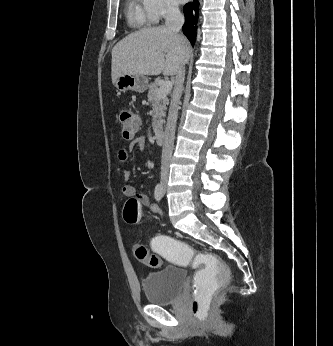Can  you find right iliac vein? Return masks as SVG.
Returning <instances> with one entry per match:
<instances>
[{
    "instance_id": "right-iliac-vein-1",
    "label": "right iliac vein",
    "mask_w": 333,
    "mask_h": 346,
    "mask_svg": "<svg viewBox=\"0 0 333 346\" xmlns=\"http://www.w3.org/2000/svg\"><path fill=\"white\" fill-rule=\"evenodd\" d=\"M166 181H167V176H163V178H162L163 185H165Z\"/></svg>"
}]
</instances>
